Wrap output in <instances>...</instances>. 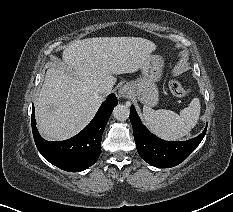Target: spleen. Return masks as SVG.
<instances>
[{
  "label": "spleen",
  "instance_id": "spleen-1",
  "mask_svg": "<svg viewBox=\"0 0 233 212\" xmlns=\"http://www.w3.org/2000/svg\"><path fill=\"white\" fill-rule=\"evenodd\" d=\"M200 116L199 98H193L188 107L180 114L171 110H153L143 106V117L149 129L165 140H178L186 136L194 128Z\"/></svg>",
  "mask_w": 233,
  "mask_h": 212
}]
</instances>
